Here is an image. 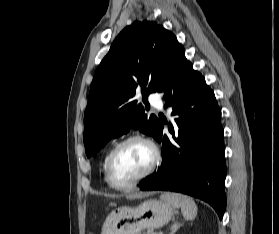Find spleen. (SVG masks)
<instances>
[{"label":"spleen","instance_id":"spleen-1","mask_svg":"<svg viewBox=\"0 0 279 234\" xmlns=\"http://www.w3.org/2000/svg\"><path fill=\"white\" fill-rule=\"evenodd\" d=\"M161 199L170 203L173 207L180 208L186 220H193L197 215V205L194 200L188 196L178 193H165L161 196Z\"/></svg>","mask_w":279,"mask_h":234}]
</instances>
